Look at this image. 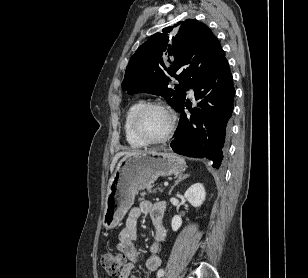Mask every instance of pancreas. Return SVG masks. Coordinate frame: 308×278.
<instances>
[{"mask_svg": "<svg viewBox=\"0 0 308 278\" xmlns=\"http://www.w3.org/2000/svg\"><path fill=\"white\" fill-rule=\"evenodd\" d=\"M162 191H163V189H161V188L152 190L151 186L147 187V192L148 193H152V192L156 193V192H162ZM145 194H146V192L143 193V195H145Z\"/></svg>", "mask_w": 308, "mask_h": 278, "instance_id": "obj_1", "label": "pancreas"}]
</instances>
